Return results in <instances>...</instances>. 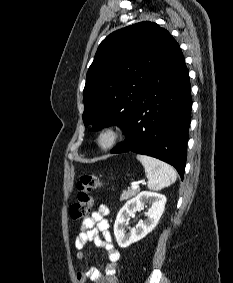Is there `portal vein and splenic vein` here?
I'll return each mask as SVG.
<instances>
[{
  "instance_id": "portal-vein-and-splenic-vein-1",
  "label": "portal vein and splenic vein",
  "mask_w": 233,
  "mask_h": 283,
  "mask_svg": "<svg viewBox=\"0 0 233 283\" xmlns=\"http://www.w3.org/2000/svg\"><path fill=\"white\" fill-rule=\"evenodd\" d=\"M144 184V182H142ZM139 188V183H135L132 185L133 190H137Z\"/></svg>"
}]
</instances>
